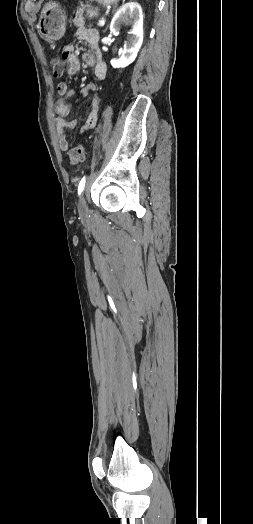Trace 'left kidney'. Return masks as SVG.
Returning a JSON list of instances; mask_svg holds the SVG:
<instances>
[{
	"mask_svg": "<svg viewBox=\"0 0 253 524\" xmlns=\"http://www.w3.org/2000/svg\"><path fill=\"white\" fill-rule=\"evenodd\" d=\"M123 23L132 25L128 41L124 44L122 55L119 59H112L111 65L114 68H123L131 64L137 57L138 51L143 42V13L141 6L136 2L123 5L114 15L110 32L117 35Z\"/></svg>",
	"mask_w": 253,
	"mask_h": 524,
	"instance_id": "1",
	"label": "left kidney"
}]
</instances>
